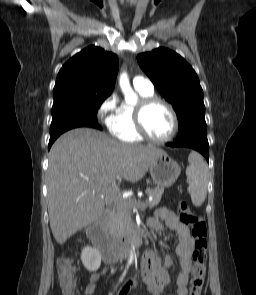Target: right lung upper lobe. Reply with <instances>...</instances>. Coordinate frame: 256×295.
Instances as JSON below:
<instances>
[{"label": "right lung upper lobe", "instance_id": "cb5924a9", "mask_svg": "<svg viewBox=\"0 0 256 295\" xmlns=\"http://www.w3.org/2000/svg\"><path fill=\"white\" fill-rule=\"evenodd\" d=\"M118 58L90 46L69 59L59 71L53 90L54 102L107 98L113 91Z\"/></svg>", "mask_w": 256, "mask_h": 295}]
</instances>
